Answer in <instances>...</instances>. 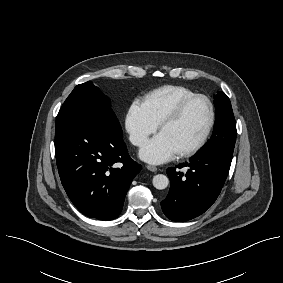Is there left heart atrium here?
<instances>
[{"label":"left heart atrium","instance_id":"obj_1","mask_svg":"<svg viewBox=\"0 0 283 283\" xmlns=\"http://www.w3.org/2000/svg\"><path fill=\"white\" fill-rule=\"evenodd\" d=\"M178 152L161 133L149 139L140 149V157L151 164H162L174 159Z\"/></svg>","mask_w":283,"mask_h":283}]
</instances>
